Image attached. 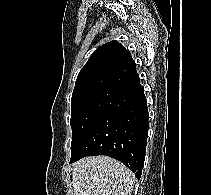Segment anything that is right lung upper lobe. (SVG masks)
I'll list each match as a JSON object with an SVG mask.
<instances>
[{
    "mask_svg": "<svg viewBox=\"0 0 211 195\" xmlns=\"http://www.w3.org/2000/svg\"><path fill=\"white\" fill-rule=\"evenodd\" d=\"M138 80L136 64L130 52L113 40L92 53L78 74L72 95L96 89L114 92Z\"/></svg>",
    "mask_w": 211,
    "mask_h": 195,
    "instance_id": "cb5924a9",
    "label": "right lung upper lobe"
}]
</instances>
